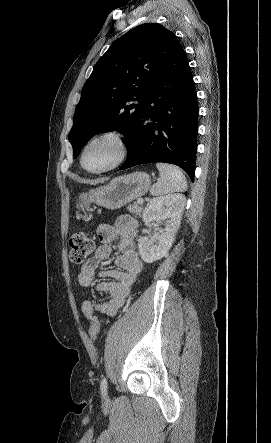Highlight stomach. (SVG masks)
<instances>
[{"label": "stomach", "mask_w": 271, "mask_h": 443, "mask_svg": "<svg viewBox=\"0 0 271 443\" xmlns=\"http://www.w3.org/2000/svg\"><path fill=\"white\" fill-rule=\"evenodd\" d=\"M151 178L145 172H134L128 176L114 178L108 186L90 190L88 194H80L76 208L89 210L91 204H97L107 210H118L136 198L144 196L150 188Z\"/></svg>", "instance_id": "stomach-1"}]
</instances>
